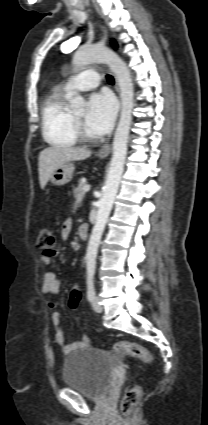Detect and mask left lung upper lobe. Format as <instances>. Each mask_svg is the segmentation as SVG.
<instances>
[{
  "mask_svg": "<svg viewBox=\"0 0 208 425\" xmlns=\"http://www.w3.org/2000/svg\"><path fill=\"white\" fill-rule=\"evenodd\" d=\"M112 46H114L115 48L117 47V45L114 41L112 42Z\"/></svg>",
  "mask_w": 208,
  "mask_h": 425,
  "instance_id": "left-lung-upper-lobe-1",
  "label": "left lung upper lobe"
}]
</instances>
